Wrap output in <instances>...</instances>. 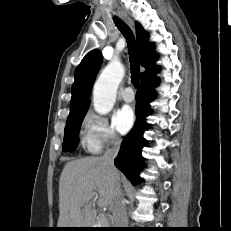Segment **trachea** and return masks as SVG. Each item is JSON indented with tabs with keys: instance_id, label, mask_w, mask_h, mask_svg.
Here are the masks:
<instances>
[{
	"instance_id": "3493384b",
	"label": "trachea",
	"mask_w": 231,
	"mask_h": 231,
	"mask_svg": "<svg viewBox=\"0 0 231 231\" xmlns=\"http://www.w3.org/2000/svg\"><path fill=\"white\" fill-rule=\"evenodd\" d=\"M113 19L117 28L126 38V42L128 45L129 59H130L131 81L135 86H138L140 81V65L137 56L134 34L132 30L129 28V26L121 19H119L116 16H114Z\"/></svg>"
}]
</instances>
